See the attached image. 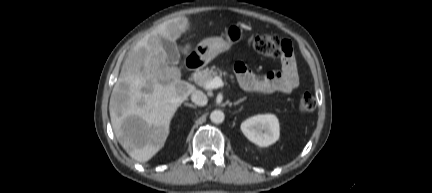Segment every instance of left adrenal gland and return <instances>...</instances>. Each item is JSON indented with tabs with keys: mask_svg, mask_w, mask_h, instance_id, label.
<instances>
[{
	"mask_svg": "<svg viewBox=\"0 0 432 193\" xmlns=\"http://www.w3.org/2000/svg\"><path fill=\"white\" fill-rule=\"evenodd\" d=\"M246 98H241L238 101L234 102V105H238L239 103L243 102Z\"/></svg>",
	"mask_w": 432,
	"mask_h": 193,
	"instance_id": "obj_1",
	"label": "left adrenal gland"
}]
</instances>
